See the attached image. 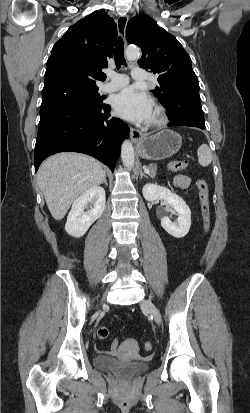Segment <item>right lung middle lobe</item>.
Returning <instances> with one entry per match:
<instances>
[{
	"label": "right lung middle lobe",
	"mask_w": 250,
	"mask_h": 413,
	"mask_svg": "<svg viewBox=\"0 0 250 413\" xmlns=\"http://www.w3.org/2000/svg\"><path fill=\"white\" fill-rule=\"evenodd\" d=\"M98 87H66L44 94L42 104L49 101H77L85 104L103 105L102 97L97 92Z\"/></svg>",
	"instance_id": "right-lung-middle-lobe-1"
}]
</instances>
